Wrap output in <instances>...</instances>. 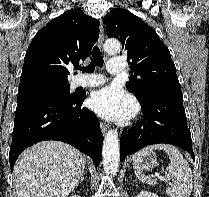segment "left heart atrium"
I'll list each match as a JSON object with an SVG mask.
<instances>
[{
  "label": "left heart atrium",
  "mask_w": 209,
  "mask_h": 197,
  "mask_svg": "<svg viewBox=\"0 0 209 197\" xmlns=\"http://www.w3.org/2000/svg\"><path fill=\"white\" fill-rule=\"evenodd\" d=\"M89 106L101 117L112 121H127L135 113L132 98L116 86L95 91L89 99Z\"/></svg>",
  "instance_id": "obj_1"
}]
</instances>
